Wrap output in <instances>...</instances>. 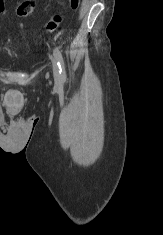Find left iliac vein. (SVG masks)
<instances>
[{"mask_svg": "<svg viewBox=\"0 0 163 235\" xmlns=\"http://www.w3.org/2000/svg\"><path fill=\"white\" fill-rule=\"evenodd\" d=\"M52 70H53V76L56 82L60 81V73H59V68L57 61L53 58L52 59Z\"/></svg>", "mask_w": 163, "mask_h": 235, "instance_id": "left-iliac-vein-1", "label": "left iliac vein"}]
</instances>
